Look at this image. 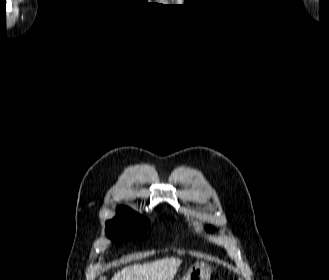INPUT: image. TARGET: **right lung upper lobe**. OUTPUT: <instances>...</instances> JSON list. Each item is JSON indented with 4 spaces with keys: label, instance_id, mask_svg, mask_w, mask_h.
I'll list each match as a JSON object with an SVG mask.
<instances>
[{
    "label": "right lung upper lobe",
    "instance_id": "cb5924a9",
    "mask_svg": "<svg viewBox=\"0 0 329 280\" xmlns=\"http://www.w3.org/2000/svg\"><path fill=\"white\" fill-rule=\"evenodd\" d=\"M121 208H126V207H124V206H121ZM128 209V208H127Z\"/></svg>",
    "mask_w": 329,
    "mask_h": 280
}]
</instances>
